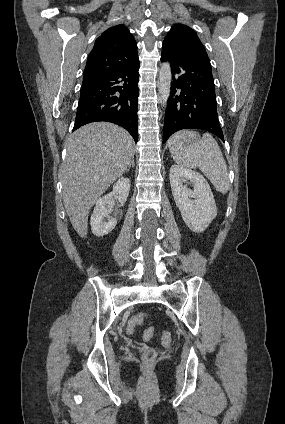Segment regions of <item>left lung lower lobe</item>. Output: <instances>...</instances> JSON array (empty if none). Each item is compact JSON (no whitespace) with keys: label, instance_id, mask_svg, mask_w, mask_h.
<instances>
[{"label":"left lung lower lobe","instance_id":"1","mask_svg":"<svg viewBox=\"0 0 285 424\" xmlns=\"http://www.w3.org/2000/svg\"><path fill=\"white\" fill-rule=\"evenodd\" d=\"M161 61L169 62L172 72L163 143L176 131L191 128L212 132L224 141L218 121L212 69L206 51L185 50L163 42Z\"/></svg>","mask_w":285,"mask_h":424}]
</instances>
